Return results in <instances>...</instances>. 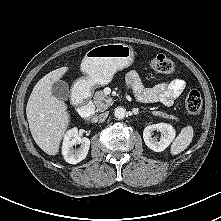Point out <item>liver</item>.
<instances>
[{"mask_svg":"<svg viewBox=\"0 0 221 221\" xmlns=\"http://www.w3.org/2000/svg\"><path fill=\"white\" fill-rule=\"evenodd\" d=\"M53 70L34 86L26 106L30 132L36 144L48 155L59 152L60 142L70 123L67 105L52 94V85L68 71Z\"/></svg>","mask_w":221,"mask_h":221,"instance_id":"obj_1","label":"liver"}]
</instances>
